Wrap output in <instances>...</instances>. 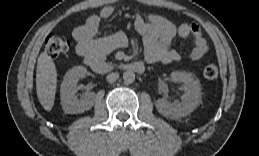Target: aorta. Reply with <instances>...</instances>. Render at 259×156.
Returning a JSON list of instances; mask_svg holds the SVG:
<instances>
[{"mask_svg": "<svg viewBox=\"0 0 259 156\" xmlns=\"http://www.w3.org/2000/svg\"><path fill=\"white\" fill-rule=\"evenodd\" d=\"M123 80L127 84H131L135 81V73L131 70H127L123 73Z\"/></svg>", "mask_w": 259, "mask_h": 156, "instance_id": "obj_1", "label": "aorta"}]
</instances>
